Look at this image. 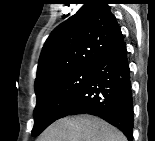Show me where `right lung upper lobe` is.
Listing matches in <instances>:
<instances>
[{
    "instance_id": "1",
    "label": "right lung upper lobe",
    "mask_w": 155,
    "mask_h": 141,
    "mask_svg": "<svg viewBox=\"0 0 155 141\" xmlns=\"http://www.w3.org/2000/svg\"><path fill=\"white\" fill-rule=\"evenodd\" d=\"M122 35L104 0H91L54 29L42 49L35 86L76 68H94Z\"/></svg>"
}]
</instances>
